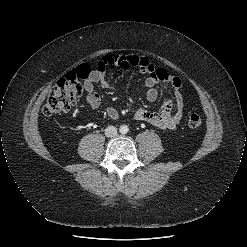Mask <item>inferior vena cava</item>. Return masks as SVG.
<instances>
[{
    "label": "inferior vena cava",
    "instance_id": "1",
    "mask_svg": "<svg viewBox=\"0 0 247 247\" xmlns=\"http://www.w3.org/2000/svg\"><path fill=\"white\" fill-rule=\"evenodd\" d=\"M117 134V128L115 126H108L105 129V136L106 137H114Z\"/></svg>",
    "mask_w": 247,
    "mask_h": 247
}]
</instances>
